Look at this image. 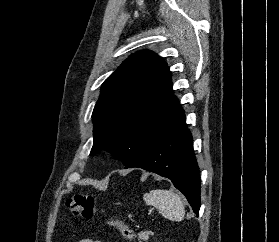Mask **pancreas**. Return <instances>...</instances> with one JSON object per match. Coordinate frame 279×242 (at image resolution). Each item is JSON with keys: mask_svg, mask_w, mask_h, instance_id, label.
<instances>
[{"mask_svg": "<svg viewBox=\"0 0 279 242\" xmlns=\"http://www.w3.org/2000/svg\"><path fill=\"white\" fill-rule=\"evenodd\" d=\"M151 234L150 231H145V232H141L138 234V239L139 240H144V239H147L149 237V235ZM141 242V241H140Z\"/></svg>", "mask_w": 279, "mask_h": 242, "instance_id": "1", "label": "pancreas"}]
</instances>
